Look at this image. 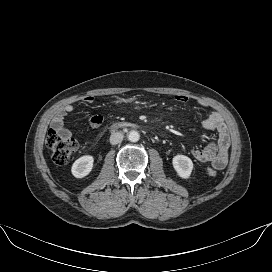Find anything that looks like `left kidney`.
I'll list each match as a JSON object with an SVG mask.
<instances>
[{"label": "left kidney", "mask_w": 272, "mask_h": 272, "mask_svg": "<svg viewBox=\"0 0 272 272\" xmlns=\"http://www.w3.org/2000/svg\"><path fill=\"white\" fill-rule=\"evenodd\" d=\"M173 168L179 177L187 179L193 170L192 160L185 155H176L172 159Z\"/></svg>", "instance_id": "5707ae66"}]
</instances>
